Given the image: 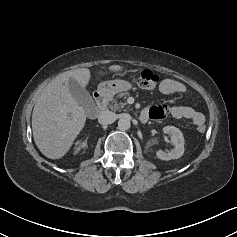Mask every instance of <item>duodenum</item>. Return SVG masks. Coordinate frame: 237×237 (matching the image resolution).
I'll return each instance as SVG.
<instances>
[{"instance_id": "obj_1", "label": "duodenum", "mask_w": 237, "mask_h": 237, "mask_svg": "<svg viewBox=\"0 0 237 237\" xmlns=\"http://www.w3.org/2000/svg\"><path fill=\"white\" fill-rule=\"evenodd\" d=\"M94 99L96 102V105L98 107V109L103 110L105 109L106 105H107V96L105 93L101 92V91H96L94 93ZM88 114L90 117H95L96 113L93 110H89Z\"/></svg>"}]
</instances>
